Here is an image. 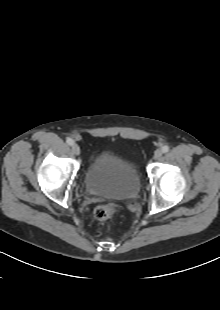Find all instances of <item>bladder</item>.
Segmentation results:
<instances>
[{"label":"bladder","instance_id":"obj_1","mask_svg":"<svg viewBox=\"0 0 220 310\" xmlns=\"http://www.w3.org/2000/svg\"><path fill=\"white\" fill-rule=\"evenodd\" d=\"M83 186L92 195L130 200L141 189V177L136 167L122 156L104 151L83 174Z\"/></svg>","mask_w":220,"mask_h":310}]
</instances>
